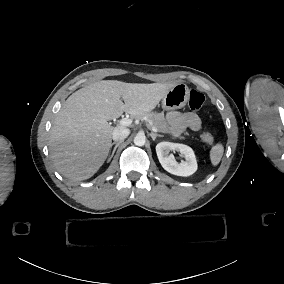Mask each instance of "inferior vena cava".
<instances>
[{
  "label": "inferior vena cava",
  "mask_w": 284,
  "mask_h": 284,
  "mask_svg": "<svg viewBox=\"0 0 284 284\" xmlns=\"http://www.w3.org/2000/svg\"><path fill=\"white\" fill-rule=\"evenodd\" d=\"M130 134L129 129L124 127H117L113 131V140L117 142H123Z\"/></svg>",
  "instance_id": "602c4592"
}]
</instances>
